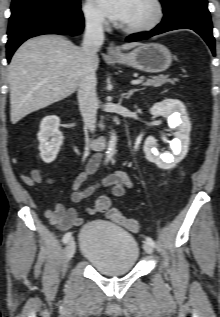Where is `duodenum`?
I'll return each instance as SVG.
<instances>
[{
    "instance_id": "1",
    "label": "duodenum",
    "mask_w": 220,
    "mask_h": 317,
    "mask_svg": "<svg viewBox=\"0 0 220 317\" xmlns=\"http://www.w3.org/2000/svg\"><path fill=\"white\" fill-rule=\"evenodd\" d=\"M108 137L107 136H98L93 138L90 142V145L96 149H102L107 144Z\"/></svg>"
}]
</instances>
